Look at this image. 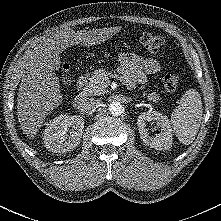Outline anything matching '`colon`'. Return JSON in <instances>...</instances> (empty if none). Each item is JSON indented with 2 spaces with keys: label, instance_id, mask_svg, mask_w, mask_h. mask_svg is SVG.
Instances as JSON below:
<instances>
[{
  "label": "colon",
  "instance_id": "5ec220e1",
  "mask_svg": "<svg viewBox=\"0 0 221 221\" xmlns=\"http://www.w3.org/2000/svg\"><path fill=\"white\" fill-rule=\"evenodd\" d=\"M139 43L146 52L151 54L159 53L165 48V40L161 36L153 33L141 34L139 37ZM61 67L63 70L62 83L66 85L68 83V79L65 74V70L67 68L66 62H62ZM163 84L168 92H174L180 84V78L175 73H167L163 77Z\"/></svg>",
  "mask_w": 221,
  "mask_h": 221
}]
</instances>
